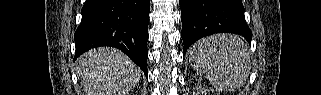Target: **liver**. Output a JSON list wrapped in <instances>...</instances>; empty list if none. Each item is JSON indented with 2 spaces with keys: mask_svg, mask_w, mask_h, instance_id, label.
<instances>
[{
  "mask_svg": "<svg viewBox=\"0 0 321 95\" xmlns=\"http://www.w3.org/2000/svg\"><path fill=\"white\" fill-rule=\"evenodd\" d=\"M78 63V74L87 95H127L141 77V70L114 48L93 49L81 55Z\"/></svg>",
  "mask_w": 321,
  "mask_h": 95,
  "instance_id": "liver-1",
  "label": "liver"
}]
</instances>
